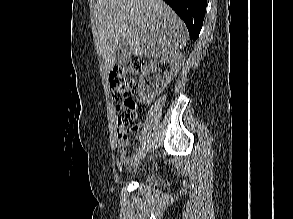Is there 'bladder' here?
Segmentation results:
<instances>
[{"instance_id": "bladder-1", "label": "bladder", "mask_w": 293, "mask_h": 219, "mask_svg": "<svg viewBox=\"0 0 293 219\" xmlns=\"http://www.w3.org/2000/svg\"><path fill=\"white\" fill-rule=\"evenodd\" d=\"M140 184L155 187L159 184V178L155 174H145L140 178Z\"/></svg>"}]
</instances>
